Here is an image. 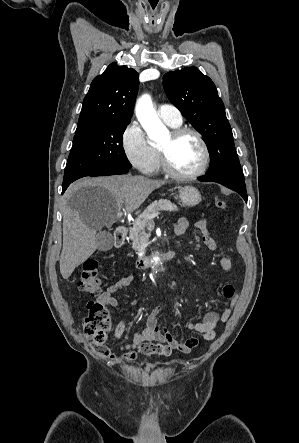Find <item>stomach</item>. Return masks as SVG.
<instances>
[{
    "label": "stomach",
    "mask_w": 299,
    "mask_h": 443,
    "mask_svg": "<svg viewBox=\"0 0 299 443\" xmlns=\"http://www.w3.org/2000/svg\"><path fill=\"white\" fill-rule=\"evenodd\" d=\"M179 200L183 206L193 207L202 200L199 190L193 186H184L179 189Z\"/></svg>",
    "instance_id": "obj_1"
}]
</instances>
